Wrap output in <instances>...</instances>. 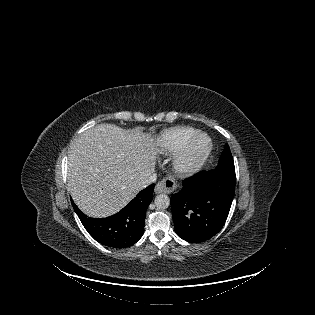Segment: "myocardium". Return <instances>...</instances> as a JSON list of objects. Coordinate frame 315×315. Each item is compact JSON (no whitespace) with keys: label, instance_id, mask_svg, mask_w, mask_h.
<instances>
[{"label":"myocardium","instance_id":"1","mask_svg":"<svg viewBox=\"0 0 315 315\" xmlns=\"http://www.w3.org/2000/svg\"><path fill=\"white\" fill-rule=\"evenodd\" d=\"M199 140H203L201 146H198ZM211 151V138L204 132L197 133L175 157L173 162L175 171L181 176H189L198 172L208 159Z\"/></svg>","mask_w":315,"mask_h":315}]
</instances>
